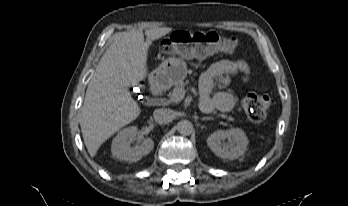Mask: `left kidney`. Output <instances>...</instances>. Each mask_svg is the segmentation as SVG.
Here are the masks:
<instances>
[{
    "label": "left kidney",
    "instance_id": "5707ae66",
    "mask_svg": "<svg viewBox=\"0 0 348 206\" xmlns=\"http://www.w3.org/2000/svg\"><path fill=\"white\" fill-rule=\"evenodd\" d=\"M226 139L228 142H224ZM248 143L246 134L240 128L218 130L207 139V145L215 155L228 159H237L244 155Z\"/></svg>",
    "mask_w": 348,
    "mask_h": 206
}]
</instances>
